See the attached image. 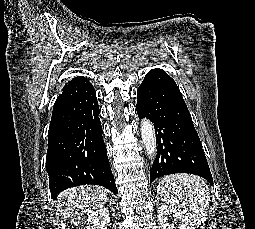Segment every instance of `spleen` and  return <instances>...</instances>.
<instances>
[{
	"label": "spleen",
	"instance_id": "3e777b00",
	"mask_svg": "<svg viewBox=\"0 0 255 229\" xmlns=\"http://www.w3.org/2000/svg\"><path fill=\"white\" fill-rule=\"evenodd\" d=\"M157 193L165 203L187 214L195 223L206 220L210 191L203 178L186 173L172 174L159 182Z\"/></svg>",
	"mask_w": 255,
	"mask_h": 229
}]
</instances>
